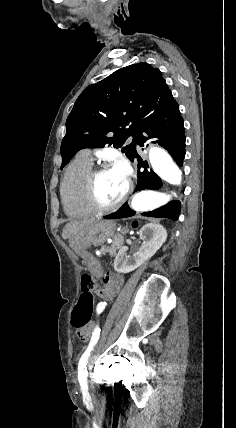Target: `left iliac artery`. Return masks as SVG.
Segmentation results:
<instances>
[{
    "instance_id": "left-iliac-artery-1",
    "label": "left iliac artery",
    "mask_w": 236,
    "mask_h": 428,
    "mask_svg": "<svg viewBox=\"0 0 236 428\" xmlns=\"http://www.w3.org/2000/svg\"><path fill=\"white\" fill-rule=\"evenodd\" d=\"M105 305H106V302H100L98 304V306H97V313L98 314H100L104 310ZM92 334H93V336L91 338L90 344H89L87 350L84 352V354L80 358L79 363H78V377L87 378V376H88L86 364L88 363V358L90 356V352L93 350V347L98 342V339L100 337V328L97 326Z\"/></svg>"
}]
</instances>
